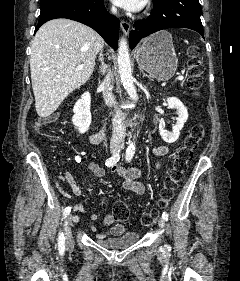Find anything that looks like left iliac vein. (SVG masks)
<instances>
[{
	"mask_svg": "<svg viewBox=\"0 0 240 281\" xmlns=\"http://www.w3.org/2000/svg\"><path fill=\"white\" fill-rule=\"evenodd\" d=\"M158 225H159L160 228H164V226H165V220L160 217V218L158 219Z\"/></svg>",
	"mask_w": 240,
	"mask_h": 281,
	"instance_id": "1",
	"label": "left iliac vein"
}]
</instances>
